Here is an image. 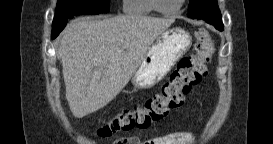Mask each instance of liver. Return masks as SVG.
<instances>
[{"label": "liver", "instance_id": "obj_1", "mask_svg": "<svg viewBox=\"0 0 273 144\" xmlns=\"http://www.w3.org/2000/svg\"><path fill=\"white\" fill-rule=\"evenodd\" d=\"M173 23V18L140 15L71 21L62 33L58 57L74 117H85L112 101L155 39Z\"/></svg>", "mask_w": 273, "mask_h": 144}]
</instances>
